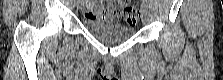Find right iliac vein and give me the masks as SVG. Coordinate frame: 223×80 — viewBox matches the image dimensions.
<instances>
[{
	"label": "right iliac vein",
	"mask_w": 223,
	"mask_h": 80,
	"mask_svg": "<svg viewBox=\"0 0 223 80\" xmlns=\"http://www.w3.org/2000/svg\"><path fill=\"white\" fill-rule=\"evenodd\" d=\"M82 6L81 2H77V9H80Z\"/></svg>",
	"instance_id": "obj_1"
}]
</instances>
